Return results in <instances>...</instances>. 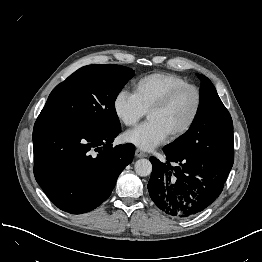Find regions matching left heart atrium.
Wrapping results in <instances>:
<instances>
[{
  "label": "left heart atrium",
  "mask_w": 262,
  "mask_h": 262,
  "mask_svg": "<svg viewBox=\"0 0 262 262\" xmlns=\"http://www.w3.org/2000/svg\"><path fill=\"white\" fill-rule=\"evenodd\" d=\"M168 134L156 121L147 122L127 131L124 140L143 150H151L166 141Z\"/></svg>",
  "instance_id": "39dd6f15"
}]
</instances>
